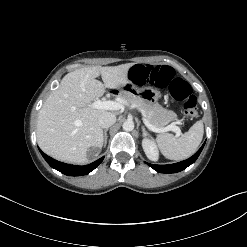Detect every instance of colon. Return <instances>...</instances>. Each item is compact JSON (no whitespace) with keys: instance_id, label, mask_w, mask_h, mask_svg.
Here are the masks:
<instances>
[{"instance_id":"colon-1","label":"colon","mask_w":247,"mask_h":247,"mask_svg":"<svg viewBox=\"0 0 247 247\" xmlns=\"http://www.w3.org/2000/svg\"><path fill=\"white\" fill-rule=\"evenodd\" d=\"M131 79L139 84H152L168 88L173 101L181 103L186 116H197V100L191 86L181 78L175 77L174 70L164 65H135L130 69Z\"/></svg>"}]
</instances>
